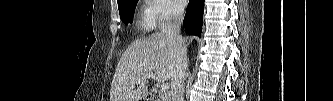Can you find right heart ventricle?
<instances>
[{
	"label": "right heart ventricle",
	"instance_id": "1",
	"mask_svg": "<svg viewBox=\"0 0 333 101\" xmlns=\"http://www.w3.org/2000/svg\"><path fill=\"white\" fill-rule=\"evenodd\" d=\"M140 27H146V28H149V27L147 26V21H146V19H144L142 22H140Z\"/></svg>",
	"mask_w": 333,
	"mask_h": 101
}]
</instances>
